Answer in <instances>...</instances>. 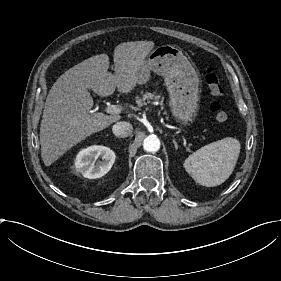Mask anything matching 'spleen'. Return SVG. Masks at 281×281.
Listing matches in <instances>:
<instances>
[{"instance_id":"spleen-1","label":"spleen","mask_w":281,"mask_h":281,"mask_svg":"<svg viewBox=\"0 0 281 281\" xmlns=\"http://www.w3.org/2000/svg\"><path fill=\"white\" fill-rule=\"evenodd\" d=\"M240 142L232 137L210 143L191 154L184 162L185 170L199 184L214 187L232 174L240 153Z\"/></svg>"}]
</instances>
